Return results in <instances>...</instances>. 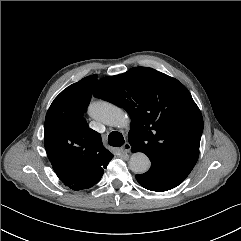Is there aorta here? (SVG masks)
I'll use <instances>...</instances> for the list:
<instances>
[{
	"label": "aorta",
	"instance_id": "1",
	"mask_svg": "<svg viewBox=\"0 0 241 241\" xmlns=\"http://www.w3.org/2000/svg\"><path fill=\"white\" fill-rule=\"evenodd\" d=\"M88 114L91 118L109 126L128 128L130 118L117 106L105 101H97L90 104ZM151 166L148 156L140 151L134 152L129 161V167L136 174H143Z\"/></svg>",
	"mask_w": 241,
	"mask_h": 241
}]
</instances>
